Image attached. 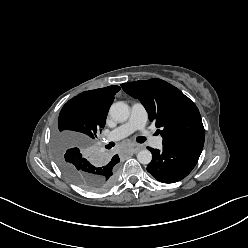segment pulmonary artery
Here are the masks:
<instances>
[{
    "label": "pulmonary artery",
    "mask_w": 248,
    "mask_h": 248,
    "mask_svg": "<svg viewBox=\"0 0 248 248\" xmlns=\"http://www.w3.org/2000/svg\"><path fill=\"white\" fill-rule=\"evenodd\" d=\"M147 123V112L141 103H133L130 109V117L127 122L113 129L106 134L107 141H118L127 136L137 129L143 130L146 139L157 149L162 148V137L153 136L150 131L145 130Z\"/></svg>",
    "instance_id": "obj_1"
}]
</instances>
